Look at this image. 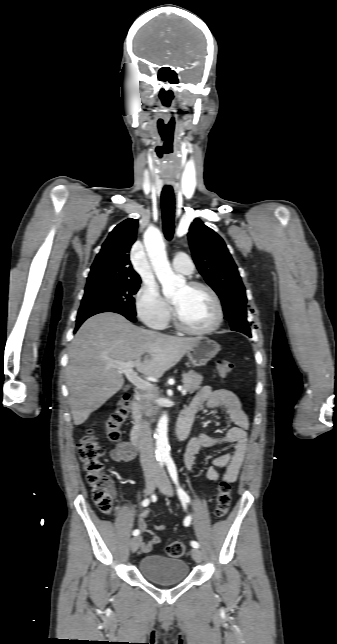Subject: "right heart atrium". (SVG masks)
<instances>
[{
    "label": "right heart atrium",
    "instance_id": "right-heart-atrium-1",
    "mask_svg": "<svg viewBox=\"0 0 337 644\" xmlns=\"http://www.w3.org/2000/svg\"><path fill=\"white\" fill-rule=\"evenodd\" d=\"M136 306L140 319L146 325L155 329L166 326L170 317V308L155 283H146L139 289Z\"/></svg>",
    "mask_w": 337,
    "mask_h": 644
}]
</instances>
